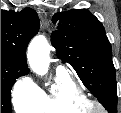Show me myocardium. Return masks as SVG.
<instances>
[{
	"label": "myocardium",
	"mask_w": 121,
	"mask_h": 113,
	"mask_svg": "<svg viewBox=\"0 0 121 113\" xmlns=\"http://www.w3.org/2000/svg\"><path fill=\"white\" fill-rule=\"evenodd\" d=\"M84 113H93L97 110V113H107V108L98 99H86L79 107Z\"/></svg>",
	"instance_id": "obj_1"
}]
</instances>
